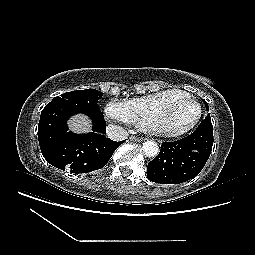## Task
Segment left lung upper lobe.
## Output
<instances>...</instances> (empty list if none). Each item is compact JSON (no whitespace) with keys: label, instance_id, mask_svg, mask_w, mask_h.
<instances>
[{"label":"left lung upper lobe","instance_id":"left-lung-upper-lobe-1","mask_svg":"<svg viewBox=\"0 0 255 255\" xmlns=\"http://www.w3.org/2000/svg\"><path fill=\"white\" fill-rule=\"evenodd\" d=\"M205 105H206V109L208 110V105H207V103L205 102Z\"/></svg>","mask_w":255,"mask_h":255}]
</instances>
